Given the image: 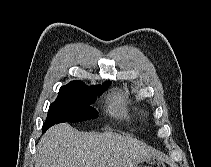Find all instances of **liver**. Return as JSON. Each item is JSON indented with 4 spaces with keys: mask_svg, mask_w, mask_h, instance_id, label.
Listing matches in <instances>:
<instances>
[{
    "mask_svg": "<svg viewBox=\"0 0 211 167\" xmlns=\"http://www.w3.org/2000/svg\"><path fill=\"white\" fill-rule=\"evenodd\" d=\"M153 154L145 144L114 132L83 133L59 124L39 141L35 167H134Z\"/></svg>",
    "mask_w": 211,
    "mask_h": 167,
    "instance_id": "obj_1",
    "label": "liver"
}]
</instances>
